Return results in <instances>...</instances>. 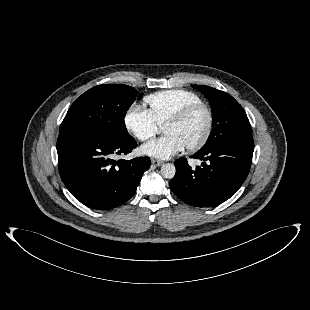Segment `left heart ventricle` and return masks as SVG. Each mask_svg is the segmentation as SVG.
Masks as SVG:
<instances>
[{
	"label": "left heart ventricle",
	"instance_id": "obj_1",
	"mask_svg": "<svg viewBox=\"0 0 310 310\" xmlns=\"http://www.w3.org/2000/svg\"><path fill=\"white\" fill-rule=\"evenodd\" d=\"M207 117L203 111H199L180 124H167L163 131L165 134H173L181 139L184 146L197 142L205 132Z\"/></svg>",
	"mask_w": 310,
	"mask_h": 310
}]
</instances>
